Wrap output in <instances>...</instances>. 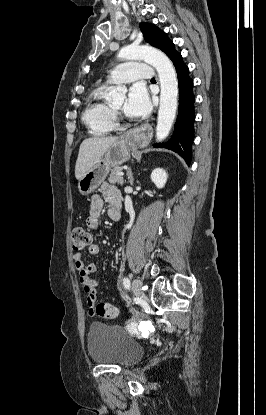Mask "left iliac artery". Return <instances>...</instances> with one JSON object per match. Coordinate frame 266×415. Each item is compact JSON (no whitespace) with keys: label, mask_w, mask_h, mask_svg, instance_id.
I'll return each mask as SVG.
<instances>
[{"label":"left iliac artery","mask_w":266,"mask_h":415,"mask_svg":"<svg viewBox=\"0 0 266 415\" xmlns=\"http://www.w3.org/2000/svg\"><path fill=\"white\" fill-rule=\"evenodd\" d=\"M123 285H124V287L126 289H129L130 288V280H129V278H127V277H124L123 278Z\"/></svg>","instance_id":"left-iliac-artery-1"}]
</instances>
